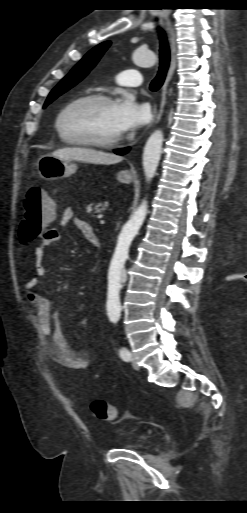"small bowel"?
<instances>
[{
  "label": "small bowel",
  "instance_id": "1",
  "mask_svg": "<svg viewBox=\"0 0 247 513\" xmlns=\"http://www.w3.org/2000/svg\"><path fill=\"white\" fill-rule=\"evenodd\" d=\"M70 224L81 232L86 239L89 234L94 233L88 222L77 218L74 210L71 207H66L62 211L59 225L66 227ZM60 239L61 234L59 230L53 227L45 229L40 235L41 243L34 250L35 275L25 282L27 300L35 311L37 322L43 334L49 340L47 346L49 357L63 367L87 370L92 366L90 351L77 350L70 345L64 335L61 322L50 299L35 291L40 284V278L46 273V266L44 264L45 249Z\"/></svg>",
  "mask_w": 247,
  "mask_h": 513
}]
</instances>
